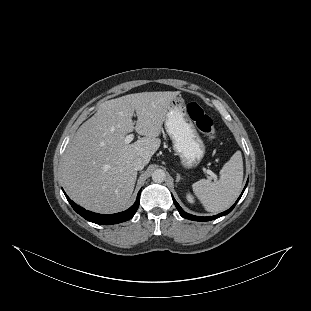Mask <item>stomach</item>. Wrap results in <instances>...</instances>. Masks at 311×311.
Masks as SVG:
<instances>
[{"label":"stomach","mask_w":311,"mask_h":311,"mask_svg":"<svg viewBox=\"0 0 311 311\" xmlns=\"http://www.w3.org/2000/svg\"><path fill=\"white\" fill-rule=\"evenodd\" d=\"M164 125L179 165L185 170L195 169L206 154V144L190 118L182 97L176 98L168 106Z\"/></svg>","instance_id":"1"}]
</instances>
